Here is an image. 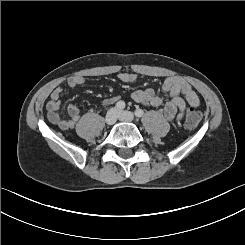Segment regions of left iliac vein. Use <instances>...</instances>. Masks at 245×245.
<instances>
[{"instance_id": "4c4485c4", "label": "left iliac vein", "mask_w": 245, "mask_h": 245, "mask_svg": "<svg viewBox=\"0 0 245 245\" xmlns=\"http://www.w3.org/2000/svg\"><path fill=\"white\" fill-rule=\"evenodd\" d=\"M118 119L123 122H132L134 120V114L129 111L118 112Z\"/></svg>"}]
</instances>
